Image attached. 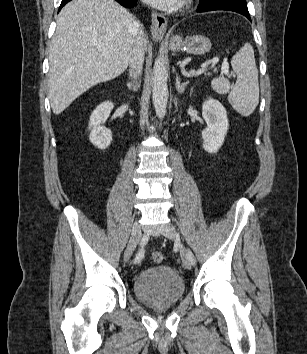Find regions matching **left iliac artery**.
<instances>
[{"mask_svg": "<svg viewBox=\"0 0 307 354\" xmlns=\"http://www.w3.org/2000/svg\"><path fill=\"white\" fill-rule=\"evenodd\" d=\"M188 253H189V256H190L191 263H192L193 265H195L196 260H195V258H194V255L192 254L191 251H189Z\"/></svg>", "mask_w": 307, "mask_h": 354, "instance_id": "1", "label": "left iliac artery"}]
</instances>
